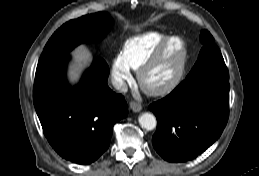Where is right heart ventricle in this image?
<instances>
[{
    "label": "right heart ventricle",
    "instance_id": "e07e8e85",
    "mask_svg": "<svg viewBox=\"0 0 259 176\" xmlns=\"http://www.w3.org/2000/svg\"><path fill=\"white\" fill-rule=\"evenodd\" d=\"M168 34L150 30L127 39L121 52L124 63L129 69L138 71Z\"/></svg>",
    "mask_w": 259,
    "mask_h": 176
}]
</instances>
